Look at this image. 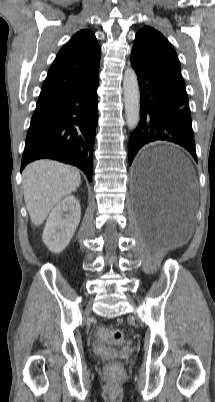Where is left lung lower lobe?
I'll use <instances>...</instances> for the list:
<instances>
[{
	"label": "left lung lower lobe",
	"mask_w": 215,
	"mask_h": 402,
	"mask_svg": "<svg viewBox=\"0 0 215 402\" xmlns=\"http://www.w3.org/2000/svg\"><path fill=\"white\" fill-rule=\"evenodd\" d=\"M140 88V121L129 140V165L144 145L165 141L178 144L197 161L186 90L145 68L132 64Z\"/></svg>",
	"instance_id": "left-lung-lower-lobe-1"
}]
</instances>
